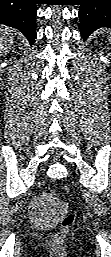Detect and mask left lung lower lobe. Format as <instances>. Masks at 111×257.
I'll use <instances>...</instances> for the list:
<instances>
[{
  "label": "left lung lower lobe",
  "mask_w": 111,
  "mask_h": 257,
  "mask_svg": "<svg viewBox=\"0 0 111 257\" xmlns=\"http://www.w3.org/2000/svg\"><path fill=\"white\" fill-rule=\"evenodd\" d=\"M79 10L84 40L101 27L111 28V0H80Z\"/></svg>",
  "instance_id": "1"
}]
</instances>
